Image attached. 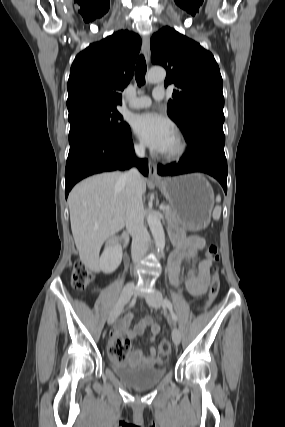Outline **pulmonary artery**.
Instances as JSON below:
<instances>
[{"mask_svg":"<svg viewBox=\"0 0 285 427\" xmlns=\"http://www.w3.org/2000/svg\"><path fill=\"white\" fill-rule=\"evenodd\" d=\"M152 96L154 100L160 101L165 98L166 92L163 86H157L152 93ZM152 100L148 96H140L135 99H133L130 103L131 108L135 109H141V108H147L151 105Z\"/></svg>","mask_w":285,"mask_h":427,"instance_id":"e3ab8cb5","label":"pulmonary artery"}]
</instances>
